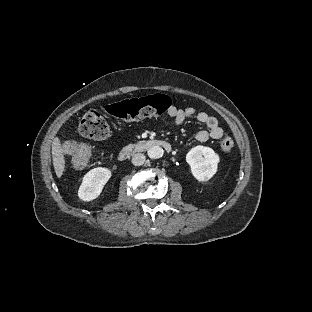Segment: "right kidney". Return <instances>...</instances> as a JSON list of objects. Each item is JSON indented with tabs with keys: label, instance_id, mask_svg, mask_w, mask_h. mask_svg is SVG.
I'll return each instance as SVG.
<instances>
[{
	"label": "right kidney",
	"instance_id": "ca27d5eb",
	"mask_svg": "<svg viewBox=\"0 0 312 312\" xmlns=\"http://www.w3.org/2000/svg\"><path fill=\"white\" fill-rule=\"evenodd\" d=\"M111 175V171L105 167L91 169L82 178V183L78 189V198L89 202L95 200L102 193Z\"/></svg>",
	"mask_w": 312,
	"mask_h": 312
}]
</instances>
